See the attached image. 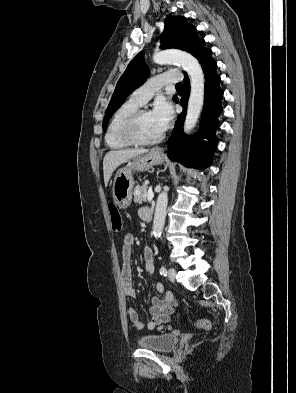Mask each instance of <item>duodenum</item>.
Instances as JSON below:
<instances>
[{
	"instance_id": "duodenum-1",
	"label": "duodenum",
	"mask_w": 296,
	"mask_h": 393,
	"mask_svg": "<svg viewBox=\"0 0 296 393\" xmlns=\"http://www.w3.org/2000/svg\"><path fill=\"white\" fill-rule=\"evenodd\" d=\"M153 216V211L152 209H148L145 215V220L146 221H151Z\"/></svg>"
}]
</instances>
